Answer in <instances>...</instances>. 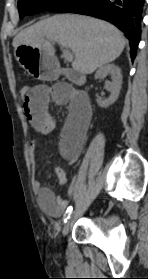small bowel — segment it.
I'll list each match as a JSON object with an SVG mask.
<instances>
[{
    "instance_id": "c3829d8e",
    "label": "small bowel",
    "mask_w": 148,
    "mask_h": 279,
    "mask_svg": "<svg viewBox=\"0 0 148 279\" xmlns=\"http://www.w3.org/2000/svg\"><path fill=\"white\" fill-rule=\"evenodd\" d=\"M50 103L68 105L69 114L59 138L60 155L69 164L75 163L82 152L87 132L91 123L92 110L88 98L67 84L57 83L52 86L37 85L31 88L30 97L24 100L25 115L35 131L50 136L54 130V120L49 114ZM35 152L36 143L32 144ZM60 180L66 181L63 168L55 169ZM33 190L42 211L52 216H59L68 206L67 199H60L40 181L33 182ZM73 187L69 188V195Z\"/></svg>"
}]
</instances>
